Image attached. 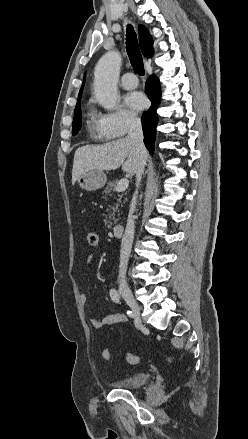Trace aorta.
I'll return each mask as SVG.
<instances>
[{
	"label": "aorta",
	"mask_w": 248,
	"mask_h": 439,
	"mask_svg": "<svg viewBox=\"0 0 248 439\" xmlns=\"http://www.w3.org/2000/svg\"><path fill=\"white\" fill-rule=\"evenodd\" d=\"M121 56L116 51L107 52L98 61L94 71V92L105 109H114L117 102V81Z\"/></svg>",
	"instance_id": "obj_1"
}]
</instances>
